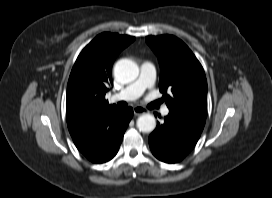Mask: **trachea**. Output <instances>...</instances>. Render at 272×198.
Masks as SVG:
<instances>
[{"mask_svg": "<svg viewBox=\"0 0 272 198\" xmlns=\"http://www.w3.org/2000/svg\"><path fill=\"white\" fill-rule=\"evenodd\" d=\"M119 105H120L121 107H126V106H127V103H126V102H120Z\"/></svg>", "mask_w": 272, "mask_h": 198, "instance_id": "obj_1", "label": "trachea"}]
</instances>
